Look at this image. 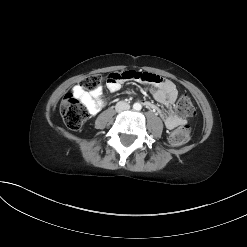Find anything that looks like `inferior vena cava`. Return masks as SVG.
<instances>
[{
	"instance_id": "obj_1",
	"label": "inferior vena cava",
	"mask_w": 247,
	"mask_h": 247,
	"mask_svg": "<svg viewBox=\"0 0 247 247\" xmlns=\"http://www.w3.org/2000/svg\"><path fill=\"white\" fill-rule=\"evenodd\" d=\"M130 108V105L124 101H120L116 104L115 109L117 112H122L125 110H128Z\"/></svg>"
}]
</instances>
